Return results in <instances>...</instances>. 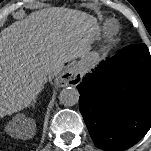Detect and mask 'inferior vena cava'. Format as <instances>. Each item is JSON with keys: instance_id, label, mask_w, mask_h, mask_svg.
Returning a JSON list of instances; mask_svg holds the SVG:
<instances>
[{"instance_id": "inferior-vena-cava-1", "label": "inferior vena cava", "mask_w": 151, "mask_h": 151, "mask_svg": "<svg viewBox=\"0 0 151 151\" xmlns=\"http://www.w3.org/2000/svg\"><path fill=\"white\" fill-rule=\"evenodd\" d=\"M60 70H61V68H60V67H58V66H56V67L53 69V74H57V73H59V72H60Z\"/></svg>"}]
</instances>
